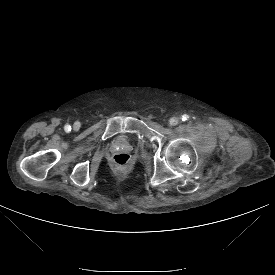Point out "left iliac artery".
Here are the masks:
<instances>
[{"label":"left iliac artery","instance_id":"44dca946","mask_svg":"<svg viewBox=\"0 0 275 275\" xmlns=\"http://www.w3.org/2000/svg\"><path fill=\"white\" fill-rule=\"evenodd\" d=\"M187 119H188V115H183V116H182V120H183V121H185V120H187Z\"/></svg>","mask_w":275,"mask_h":275}]
</instances>
